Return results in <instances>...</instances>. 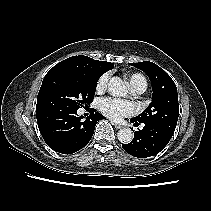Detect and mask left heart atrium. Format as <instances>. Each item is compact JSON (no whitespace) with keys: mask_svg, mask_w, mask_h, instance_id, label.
<instances>
[{"mask_svg":"<svg viewBox=\"0 0 211 211\" xmlns=\"http://www.w3.org/2000/svg\"><path fill=\"white\" fill-rule=\"evenodd\" d=\"M99 108L105 116L113 120H121L123 117L131 116L136 112V106L132 102L112 97L103 98Z\"/></svg>","mask_w":211,"mask_h":211,"instance_id":"obj_1","label":"left heart atrium"}]
</instances>
